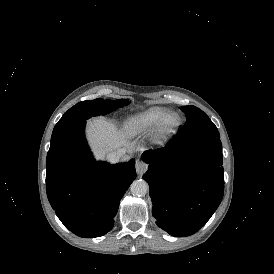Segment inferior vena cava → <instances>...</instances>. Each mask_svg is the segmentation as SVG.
Here are the masks:
<instances>
[{
  "mask_svg": "<svg viewBox=\"0 0 274 274\" xmlns=\"http://www.w3.org/2000/svg\"><path fill=\"white\" fill-rule=\"evenodd\" d=\"M126 154V149L124 148H118L115 151H111L107 154L108 160L111 162H117L119 161L124 155Z\"/></svg>",
  "mask_w": 274,
  "mask_h": 274,
  "instance_id": "1",
  "label": "inferior vena cava"
}]
</instances>
